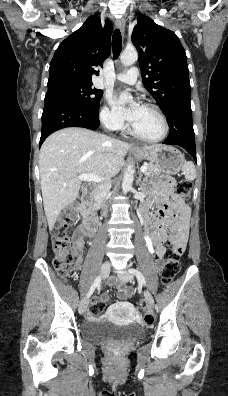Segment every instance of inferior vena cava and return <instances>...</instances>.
Wrapping results in <instances>:
<instances>
[{
  "instance_id": "inferior-vena-cava-1",
  "label": "inferior vena cava",
  "mask_w": 228,
  "mask_h": 396,
  "mask_svg": "<svg viewBox=\"0 0 228 396\" xmlns=\"http://www.w3.org/2000/svg\"><path fill=\"white\" fill-rule=\"evenodd\" d=\"M110 188H111V186L108 181L97 185L96 188L94 189L95 200L97 202H99L100 204H104V202L108 198ZM104 207H106V206L104 205Z\"/></svg>"
}]
</instances>
